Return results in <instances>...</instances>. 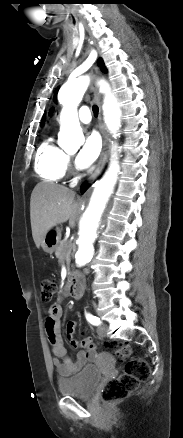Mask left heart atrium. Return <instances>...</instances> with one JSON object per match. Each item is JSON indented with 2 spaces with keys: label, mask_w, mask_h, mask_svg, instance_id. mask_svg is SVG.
<instances>
[{
  "label": "left heart atrium",
  "mask_w": 183,
  "mask_h": 438,
  "mask_svg": "<svg viewBox=\"0 0 183 438\" xmlns=\"http://www.w3.org/2000/svg\"><path fill=\"white\" fill-rule=\"evenodd\" d=\"M101 151V140L96 133H90L83 144L77 157V164L80 168H87L98 158Z\"/></svg>",
  "instance_id": "left-heart-atrium-1"
}]
</instances>
